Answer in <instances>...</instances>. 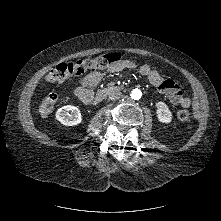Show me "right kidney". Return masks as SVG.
<instances>
[{"instance_id":"obj_1","label":"right kidney","mask_w":221,"mask_h":221,"mask_svg":"<svg viewBox=\"0 0 221 221\" xmlns=\"http://www.w3.org/2000/svg\"><path fill=\"white\" fill-rule=\"evenodd\" d=\"M71 111L75 113L74 118L67 117L68 112ZM56 118L61 124L65 126H75L81 123V113L80 110L72 105L63 106L56 112Z\"/></svg>"}]
</instances>
